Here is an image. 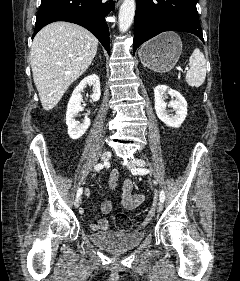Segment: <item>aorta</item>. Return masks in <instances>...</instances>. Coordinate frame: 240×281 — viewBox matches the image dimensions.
<instances>
[{
	"mask_svg": "<svg viewBox=\"0 0 240 281\" xmlns=\"http://www.w3.org/2000/svg\"><path fill=\"white\" fill-rule=\"evenodd\" d=\"M135 15V0H123L119 9V30L125 33L131 26Z\"/></svg>",
	"mask_w": 240,
	"mask_h": 281,
	"instance_id": "762f6f07",
	"label": "aorta"
}]
</instances>
